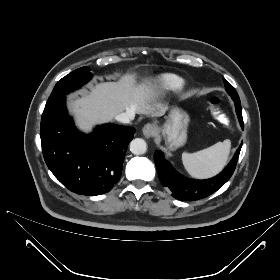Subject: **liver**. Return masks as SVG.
Masks as SVG:
<instances>
[{
  "mask_svg": "<svg viewBox=\"0 0 280 280\" xmlns=\"http://www.w3.org/2000/svg\"><path fill=\"white\" fill-rule=\"evenodd\" d=\"M151 81L136 84L132 75L123 76L118 82L96 84L89 94L72 100L70 110L80 129L90 132L96 124L111 121L124 111L162 116L163 104L157 102Z\"/></svg>",
  "mask_w": 280,
  "mask_h": 280,
  "instance_id": "1",
  "label": "liver"
}]
</instances>
